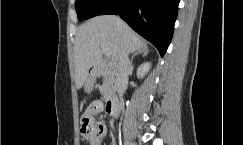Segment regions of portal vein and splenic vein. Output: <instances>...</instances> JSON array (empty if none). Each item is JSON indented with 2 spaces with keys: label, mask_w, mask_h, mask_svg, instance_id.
I'll use <instances>...</instances> for the list:
<instances>
[{
  "label": "portal vein and splenic vein",
  "mask_w": 243,
  "mask_h": 145,
  "mask_svg": "<svg viewBox=\"0 0 243 145\" xmlns=\"http://www.w3.org/2000/svg\"><path fill=\"white\" fill-rule=\"evenodd\" d=\"M102 48V52L107 56H111V52L109 51V49L105 48L104 46L101 47Z\"/></svg>",
  "instance_id": "portal-vein-and-splenic-vein-1"
}]
</instances>
